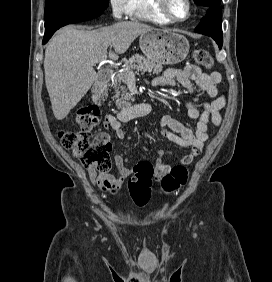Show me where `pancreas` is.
I'll use <instances>...</instances> for the list:
<instances>
[{"label": "pancreas", "mask_w": 272, "mask_h": 282, "mask_svg": "<svg viewBox=\"0 0 272 282\" xmlns=\"http://www.w3.org/2000/svg\"><path fill=\"white\" fill-rule=\"evenodd\" d=\"M140 71L142 73L145 72H152L153 74H160L163 71V67L161 64H156L155 62L151 61L150 59L139 55L135 54L131 56L128 60L125 61L124 69L120 71L114 79V88L117 90L115 98H116V105L117 106H126L129 105V101L132 99V96L130 93L127 91L122 86V83L126 84L127 79L129 77L130 71L133 70ZM119 89L123 91V93L120 95Z\"/></svg>", "instance_id": "1"}]
</instances>
